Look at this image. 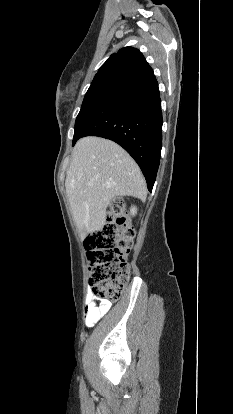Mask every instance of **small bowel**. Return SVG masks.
<instances>
[{"mask_svg": "<svg viewBox=\"0 0 233 414\" xmlns=\"http://www.w3.org/2000/svg\"><path fill=\"white\" fill-rule=\"evenodd\" d=\"M88 293L92 292L91 288L87 289ZM112 302L108 299H97L93 294L86 297V307L84 321L86 326H94L111 308Z\"/></svg>", "mask_w": 233, "mask_h": 414, "instance_id": "obj_1", "label": "small bowel"}]
</instances>
